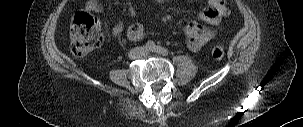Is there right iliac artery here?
I'll return each mask as SVG.
<instances>
[{
	"label": "right iliac artery",
	"mask_w": 303,
	"mask_h": 127,
	"mask_svg": "<svg viewBox=\"0 0 303 127\" xmlns=\"http://www.w3.org/2000/svg\"><path fill=\"white\" fill-rule=\"evenodd\" d=\"M149 42H151L152 44H154V42H152V41H149ZM149 42L146 44V49L147 50H151L152 49V46L149 45Z\"/></svg>",
	"instance_id": "82829eb1"
}]
</instances>
